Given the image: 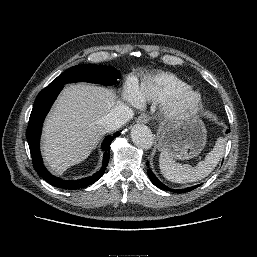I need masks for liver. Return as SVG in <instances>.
<instances>
[{"label": "liver", "mask_w": 257, "mask_h": 257, "mask_svg": "<svg viewBox=\"0 0 257 257\" xmlns=\"http://www.w3.org/2000/svg\"><path fill=\"white\" fill-rule=\"evenodd\" d=\"M116 93L108 88L71 84L58 97L43 129L42 153L56 172L85 160L99 137L107 131L100 119L116 105Z\"/></svg>", "instance_id": "1"}]
</instances>
